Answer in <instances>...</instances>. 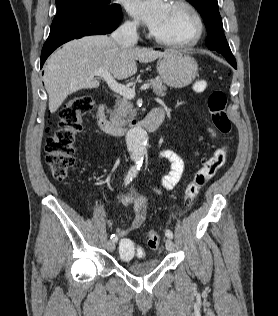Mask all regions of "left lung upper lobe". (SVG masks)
Returning <instances> with one entry per match:
<instances>
[{
	"mask_svg": "<svg viewBox=\"0 0 278 316\" xmlns=\"http://www.w3.org/2000/svg\"><path fill=\"white\" fill-rule=\"evenodd\" d=\"M187 1L200 12L204 20L207 28L206 46L210 50L221 53L234 68H237L236 60L223 32V24L218 10L217 0Z\"/></svg>",
	"mask_w": 278,
	"mask_h": 316,
	"instance_id": "obj_1",
	"label": "left lung upper lobe"
}]
</instances>
